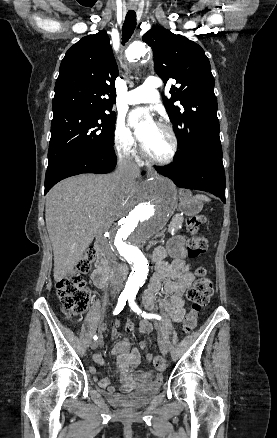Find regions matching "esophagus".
<instances>
[{
  "label": "esophagus",
  "instance_id": "esophagus-1",
  "mask_svg": "<svg viewBox=\"0 0 277 438\" xmlns=\"http://www.w3.org/2000/svg\"><path fill=\"white\" fill-rule=\"evenodd\" d=\"M128 8H129V10H136V9H137V7H128ZM147 176H148V177L153 176V172H152V171H149L148 174H147Z\"/></svg>",
  "mask_w": 277,
  "mask_h": 438
}]
</instances>
